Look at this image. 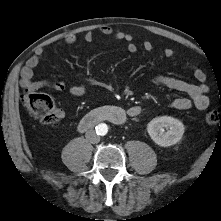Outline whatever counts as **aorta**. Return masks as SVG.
Returning <instances> with one entry per match:
<instances>
[{
    "label": "aorta",
    "mask_w": 221,
    "mask_h": 221,
    "mask_svg": "<svg viewBox=\"0 0 221 221\" xmlns=\"http://www.w3.org/2000/svg\"><path fill=\"white\" fill-rule=\"evenodd\" d=\"M96 133L98 135L104 136L108 132V126L105 123H100L96 126Z\"/></svg>",
    "instance_id": "obj_1"
}]
</instances>
